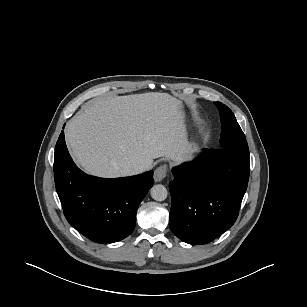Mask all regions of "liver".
<instances>
[{"label":"liver","mask_w":307,"mask_h":307,"mask_svg":"<svg viewBox=\"0 0 307 307\" xmlns=\"http://www.w3.org/2000/svg\"><path fill=\"white\" fill-rule=\"evenodd\" d=\"M65 138L77 164L105 178L149 169L159 157L179 163L189 150L181 102L159 92L93 99L67 123Z\"/></svg>","instance_id":"liver-1"}]
</instances>
